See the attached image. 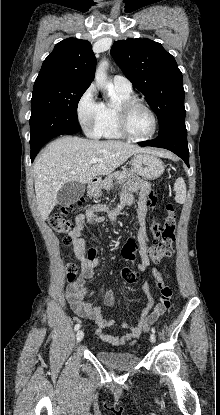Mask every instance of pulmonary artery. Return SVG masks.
Listing matches in <instances>:
<instances>
[{"mask_svg":"<svg viewBox=\"0 0 220 415\" xmlns=\"http://www.w3.org/2000/svg\"><path fill=\"white\" fill-rule=\"evenodd\" d=\"M113 86L114 89L120 92L128 93L132 91L131 82L124 76L115 75L113 77Z\"/></svg>","mask_w":220,"mask_h":415,"instance_id":"pulmonary-artery-1","label":"pulmonary artery"}]
</instances>
